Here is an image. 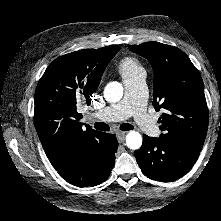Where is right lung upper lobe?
I'll return each instance as SVG.
<instances>
[{
	"label": "right lung upper lobe",
	"mask_w": 221,
	"mask_h": 221,
	"mask_svg": "<svg viewBox=\"0 0 221 221\" xmlns=\"http://www.w3.org/2000/svg\"><path fill=\"white\" fill-rule=\"evenodd\" d=\"M119 49L111 45L63 55L41 77L35 92L34 123L52 165L92 147L100 132L90 126L82 128L76 104L90 103L104 69Z\"/></svg>",
	"instance_id": "cb5924a9"
}]
</instances>
